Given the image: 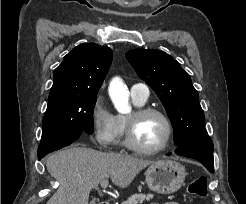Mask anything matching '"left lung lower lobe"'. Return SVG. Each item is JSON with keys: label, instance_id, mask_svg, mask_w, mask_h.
Here are the masks:
<instances>
[{"label": "left lung lower lobe", "instance_id": "left-lung-lower-lobe-1", "mask_svg": "<svg viewBox=\"0 0 246 204\" xmlns=\"http://www.w3.org/2000/svg\"><path fill=\"white\" fill-rule=\"evenodd\" d=\"M175 153L198 160L211 173H214L213 142L208 135L183 143ZM167 155H170V153Z\"/></svg>", "mask_w": 246, "mask_h": 204}]
</instances>
